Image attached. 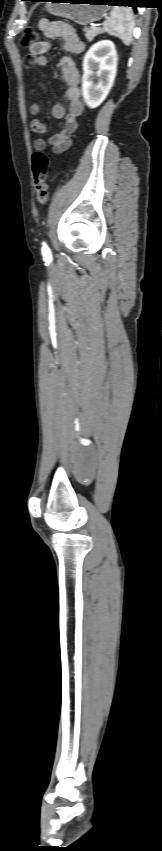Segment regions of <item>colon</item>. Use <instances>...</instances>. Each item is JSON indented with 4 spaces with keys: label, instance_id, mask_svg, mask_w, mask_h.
Wrapping results in <instances>:
<instances>
[{
    "label": "colon",
    "instance_id": "obj_1",
    "mask_svg": "<svg viewBox=\"0 0 162 851\" xmlns=\"http://www.w3.org/2000/svg\"><path fill=\"white\" fill-rule=\"evenodd\" d=\"M39 40V33L34 28H27L22 37L21 45L30 47ZM48 169L49 159L42 151H36L32 155V171L34 176L35 187L37 191V200L40 204L48 202Z\"/></svg>",
    "mask_w": 162,
    "mask_h": 851
}]
</instances>
